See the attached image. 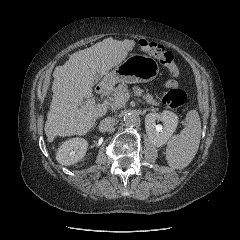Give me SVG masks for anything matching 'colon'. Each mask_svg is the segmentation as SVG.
Returning <instances> with one entry per match:
<instances>
[{
    "instance_id": "colon-1",
    "label": "colon",
    "mask_w": 240,
    "mask_h": 240,
    "mask_svg": "<svg viewBox=\"0 0 240 240\" xmlns=\"http://www.w3.org/2000/svg\"><path fill=\"white\" fill-rule=\"evenodd\" d=\"M139 48L154 57H156L160 63L168 68L173 77L179 76V68L175 64L174 54L165 49L163 45L157 44L155 42H149L147 40L139 41ZM188 99L187 93L178 88L169 90L163 96V102L169 107L177 108L186 103Z\"/></svg>"
}]
</instances>
